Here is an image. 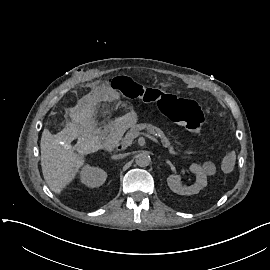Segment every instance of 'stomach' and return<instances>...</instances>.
<instances>
[{
  "label": "stomach",
  "mask_w": 270,
  "mask_h": 270,
  "mask_svg": "<svg viewBox=\"0 0 270 270\" xmlns=\"http://www.w3.org/2000/svg\"><path fill=\"white\" fill-rule=\"evenodd\" d=\"M127 116V119L123 120L121 124L125 128H130L139 121L138 113L134 109H131Z\"/></svg>",
  "instance_id": "obj_1"
}]
</instances>
